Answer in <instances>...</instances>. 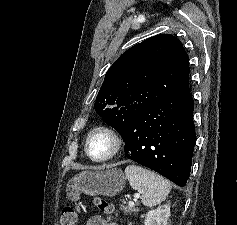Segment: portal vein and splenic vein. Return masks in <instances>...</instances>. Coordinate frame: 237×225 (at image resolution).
Here are the masks:
<instances>
[{
    "label": "portal vein and splenic vein",
    "mask_w": 237,
    "mask_h": 225,
    "mask_svg": "<svg viewBox=\"0 0 237 225\" xmlns=\"http://www.w3.org/2000/svg\"><path fill=\"white\" fill-rule=\"evenodd\" d=\"M138 197H139V194L135 195V199L134 200H136ZM129 206L130 207H134L135 206L134 201H129Z\"/></svg>",
    "instance_id": "portal-vein-and-splenic-vein-1"
}]
</instances>
